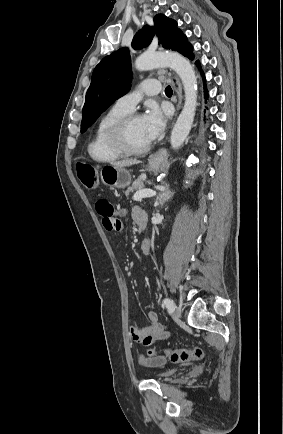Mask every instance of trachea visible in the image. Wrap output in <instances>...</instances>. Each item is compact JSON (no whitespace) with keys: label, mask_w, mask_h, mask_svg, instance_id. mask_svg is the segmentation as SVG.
<instances>
[{"label":"trachea","mask_w":283,"mask_h":434,"mask_svg":"<svg viewBox=\"0 0 283 434\" xmlns=\"http://www.w3.org/2000/svg\"><path fill=\"white\" fill-rule=\"evenodd\" d=\"M165 94H166V95H171V94H172V88H171L170 86H167V87L165 88Z\"/></svg>","instance_id":"obj_1"}]
</instances>
